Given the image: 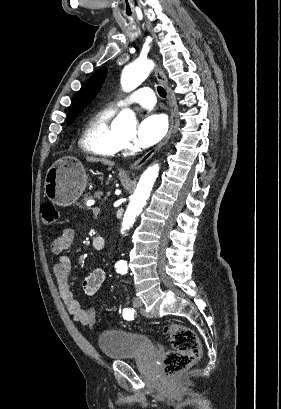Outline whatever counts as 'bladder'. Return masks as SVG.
Listing matches in <instances>:
<instances>
[{
	"label": "bladder",
	"mask_w": 281,
	"mask_h": 409,
	"mask_svg": "<svg viewBox=\"0 0 281 409\" xmlns=\"http://www.w3.org/2000/svg\"><path fill=\"white\" fill-rule=\"evenodd\" d=\"M95 343L107 360L117 362L132 360V355H157L158 350L156 342L144 333L117 328L98 332Z\"/></svg>",
	"instance_id": "1"
}]
</instances>
